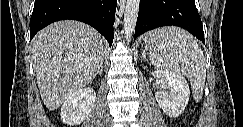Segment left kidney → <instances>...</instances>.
Masks as SVG:
<instances>
[{
  "instance_id": "left-kidney-1",
  "label": "left kidney",
  "mask_w": 243,
  "mask_h": 127,
  "mask_svg": "<svg viewBox=\"0 0 243 127\" xmlns=\"http://www.w3.org/2000/svg\"><path fill=\"white\" fill-rule=\"evenodd\" d=\"M151 74L160 79L163 88V90H159L155 95L160 108L169 117H178L189 102L190 90L186 79L182 75L160 70ZM166 89L170 91L166 92Z\"/></svg>"
}]
</instances>
